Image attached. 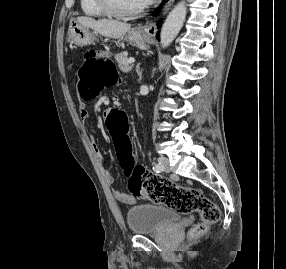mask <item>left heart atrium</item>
Returning <instances> with one entry per match:
<instances>
[{"label":"left heart atrium","mask_w":286,"mask_h":269,"mask_svg":"<svg viewBox=\"0 0 286 269\" xmlns=\"http://www.w3.org/2000/svg\"><path fill=\"white\" fill-rule=\"evenodd\" d=\"M145 4H151L153 3L155 0H143Z\"/></svg>","instance_id":"obj_1"}]
</instances>
